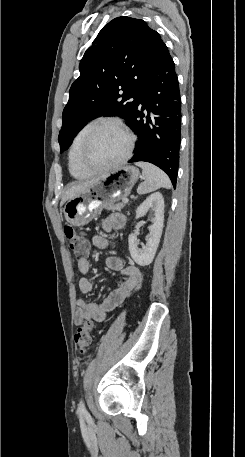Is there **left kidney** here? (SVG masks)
<instances>
[{
	"instance_id": "5707ae66",
	"label": "left kidney",
	"mask_w": 245,
	"mask_h": 457,
	"mask_svg": "<svg viewBox=\"0 0 245 457\" xmlns=\"http://www.w3.org/2000/svg\"><path fill=\"white\" fill-rule=\"evenodd\" d=\"M148 210H153L154 216L152 218L153 224L148 226L150 233L146 237V245L138 241L137 233H131L128 237L130 255L140 267L151 265L160 243L164 222V198L161 192H153L147 196L146 200L139 204L135 218L144 216ZM138 245H142V249H139Z\"/></svg>"
}]
</instances>
